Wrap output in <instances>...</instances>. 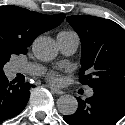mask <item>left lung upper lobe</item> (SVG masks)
<instances>
[{
  "label": "left lung upper lobe",
  "mask_w": 125,
  "mask_h": 125,
  "mask_svg": "<svg viewBox=\"0 0 125 125\" xmlns=\"http://www.w3.org/2000/svg\"><path fill=\"white\" fill-rule=\"evenodd\" d=\"M67 22L81 39L82 84L125 89V30L95 16H68Z\"/></svg>",
  "instance_id": "1"
}]
</instances>
